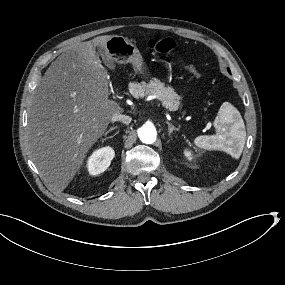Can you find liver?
Instances as JSON below:
<instances>
[{"label":"liver","mask_w":285,"mask_h":285,"mask_svg":"<svg viewBox=\"0 0 285 285\" xmlns=\"http://www.w3.org/2000/svg\"><path fill=\"white\" fill-rule=\"evenodd\" d=\"M100 36L76 44L56 59L38 83L28 115L27 148L49 187L60 192L85 164L112 116L122 113L111 99L109 75L96 54L112 60Z\"/></svg>","instance_id":"1"}]
</instances>
